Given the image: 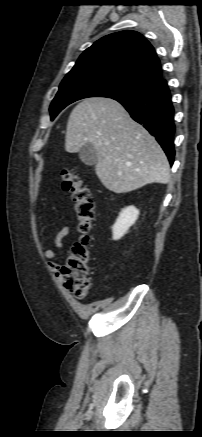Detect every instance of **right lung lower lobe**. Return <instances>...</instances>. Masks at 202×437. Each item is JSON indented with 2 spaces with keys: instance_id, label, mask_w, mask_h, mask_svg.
<instances>
[{
  "instance_id": "obj_1",
  "label": "right lung lower lobe",
  "mask_w": 202,
  "mask_h": 437,
  "mask_svg": "<svg viewBox=\"0 0 202 437\" xmlns=\"http://www.w3.org/2000/svg\"><path fill=\"white\" fill-rule=\"evenodd\" d=\"M113 99L120 102L131 117L156 138L172 165L175 156L174 108L167 82L160 78L141 93Z\"/></svg>"
}]
</instances>
